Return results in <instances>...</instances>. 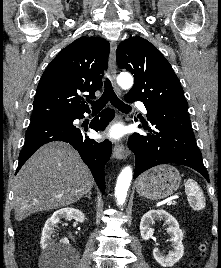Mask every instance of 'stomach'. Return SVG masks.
<instances>
[{
	"label": "stomach",
	"instance_id": "obj_1",
	"mask_svg": "<svg viewBox=\"0 0 221 268\" xmlns=\"http://www.w3.org/2000/svg\"><path fill=\"white\" fill-rule=\"evenodd\" d=\"M181 175L172 165L164 164L145 172L136 184L137 193L148 199H163L179 187Z\"/></svg>",
	"mask_w": 221,
	"mask_h": 268
}]
</instances>
